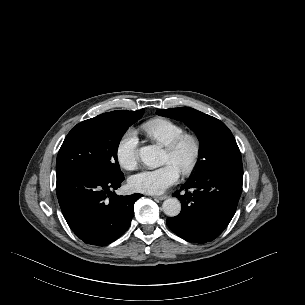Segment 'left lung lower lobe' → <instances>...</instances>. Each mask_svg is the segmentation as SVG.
Segmentation results:
<instances>
[{
  "label": "left lung lower lobe",
  "instance_id": "0a47b994",
  "mask_svg": "<svg viewBox=\"0 0 305 305\" xmlns=\"http://www.w3.org/2000/svg\"><path fill=\"white\" fill-rule=\"evenodd\" d=\"M241 160L223 163L190 178L173 196L182 204L178 216L168 218V227L181 238L206 243L218 237L235 214L242 191ZM187 189L194 190L192 193Z\"/></svg>",
  "mask_w": 305,
  "mask_h": 305
}]
</instances>
